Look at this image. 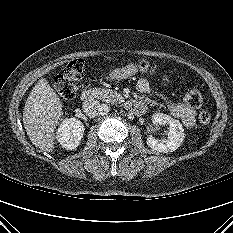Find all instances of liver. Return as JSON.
Listing matches in <instances>:
<instances>
[{
    "label": "liver",
    "mask_w": 233,
    "mask_h": 233,
    "mask_svg": "<svg viewBox=\"0 0 233 233\" xmlns=\"http://www.w3.org/2000/svg\"><path fill=\"white\" fill-rule=\"evenodd\" d=\"M62 116V102L45 78L32 88L26 100L23 123L30 141L36 147L52 152L54 130Z\"/></svg>",
    "instance_id": "6515ba94"
}]
</instances>
